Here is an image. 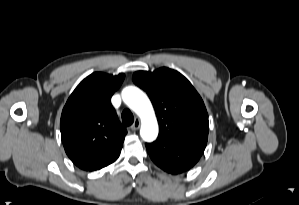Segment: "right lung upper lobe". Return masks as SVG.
<instances>
[{
    "label": "right lung upper lobe",
    "mask_w": 299,
    "mask_h": 205,
    "mask_svg": "<svg viewBox=\"0 0 299 205\" xmlns=\"http://www.w3.org/2000/svg\"><path fill=\"white\" fill-rule=\"evenodd\" d=\"M125 75L100 72L86 77L63 108L60 130L68 157L86 171L101 169L120 155L127 133L111 105Z\"/></svg>",
    "instance_id": "obj_1"
}]
</instances>
